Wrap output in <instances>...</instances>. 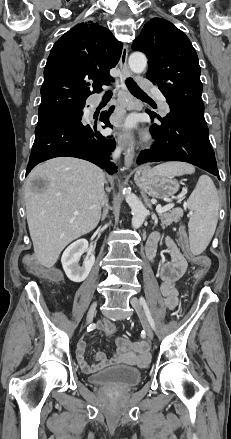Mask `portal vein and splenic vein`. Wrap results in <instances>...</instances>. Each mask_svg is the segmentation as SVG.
Returning <instances> with one entry per match:
<instances>
[{
    "instance_id": "obj_1",
    "label": "portal vein and splenic vein",
    "mask_w": 231,
    "mask_h": 439,
    "mask_svg": "<svg viewBox=\"0 0 231 439\" xmlns=\"http://www.w3.org/2000/svg\"><path fill=\"white\" fill-rule=\"evenodd\" d=\"M184 194H185V193L180 194V195H179V198H182V197L184 196ZM173 206H174L173 204L166 205V206H163V207L160 206V205H158V206L156 207V212H157L158 214L164 213V212L170 210L171 208H173ZM75 214H78V212L76 211Z\"/></svg>"
}]
</instances>
